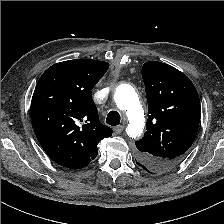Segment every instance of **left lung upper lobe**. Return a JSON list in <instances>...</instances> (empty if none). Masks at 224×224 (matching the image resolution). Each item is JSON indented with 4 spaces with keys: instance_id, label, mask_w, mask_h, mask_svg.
Returning <instances> with one entry per match:
<instances>
[{
    "instance_id": "5c2ea615",
    "label": "left lung upper lobe",
    "mask_w": 224,
    "mask_h": 224,
    "mask_svg": "<svg viewBox=\"0 0 224 224\" xmlns=\"http://www.w3.org/2000/svg\"><path fill=\"white\" fill-rule=\"evenodd\" d=\"M142 78L148 119L144 137L135 142L139 162L150 172H167L183 160L195 140L200 99L191 80L168 64L146 62Z\"/></svg>"
}]
</instances>
